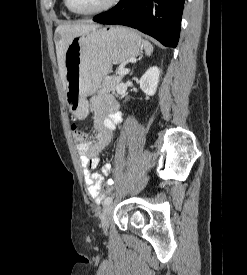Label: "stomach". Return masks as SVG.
<instances>
[{
	"label": "stomach",
	"instance_id": "1",
	"mask_svg": "<svg viewBox=\"0 0 247 275\" xmlns=\"http://www.w3.org/2000/svg\"><path fill=\"white\" fill-rule=\"evenodd\" d=\"M143 49L132 29L106 27L76 36L65 52L66 103L72 115L84 119L89 113L87 96L94 94L111 71Z\"/></svg>",
	"mask_w": 247,
	"mask_h": 275
}]
</instances>
